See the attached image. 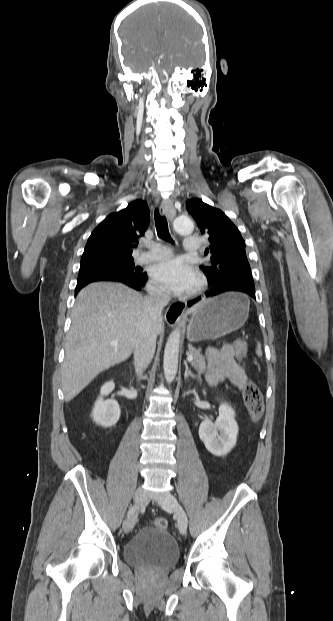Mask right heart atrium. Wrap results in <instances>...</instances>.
Listing matches in <instances>:
<instances>
[{
  "instance_id": "right-heart-atrium-1",
  "label": "right heart atrium",
  "mask_w": 333,
  "mask_h": 621,
  "mask_svg": "<svg viewBox=\"0 0 333 621\" xmlns=\"http://www.w3.org/2000/svg\"><path fill=\"white\" fill-rule=\"evenodd\" d=\"M149 291L156 297H163L165 294L162 288L153 283L149 285Z\"/></svg>"
}]
</instances>
